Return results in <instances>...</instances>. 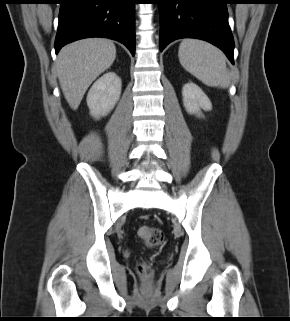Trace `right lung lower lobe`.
Listing matches in <instances>:
<instances>
[{
    "label": "right lung lower lobe",
    "mask_w": 290,
    "mask_h": 321,
    "mask_svg": "<svg viewBox=\"0 0 290 321\" xmlns=\"http://www.w3.org/2000/svg\"><path fill=\"white\" fill-rule=\"evenodd\" d=\"M135 0H61L56 53L66 44L88 37L123 43L135 54Z\"/></svg>",
    "instance_id": "98d812e1"
}]
</instances>
